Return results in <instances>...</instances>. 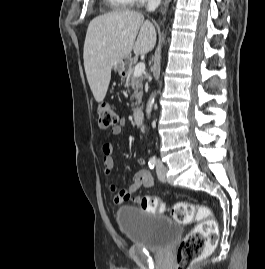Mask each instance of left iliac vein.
Masks as SVG:
<instances>
[{"label": "left iliac vein", "mask_w": 265, "mask_h": 269, "mask_svg": "<svg viewBox=\"0 0 265 269\" xmlns=\"http://www.w3.org/2000/svg\"><path fill=\"white\" fill-rule=\"evenodd\" d=\"M156 172H157V176L159 180L162 182H165L166 181V167L161 161L157 162Z\"/></svg>", "instance_id": "obj_1"}]
</instances>
